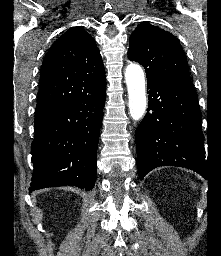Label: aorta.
I'll return each instance as SVG.
<instances>
[{
  "mask_svg": "<svg viewBox=\"0 0 221 256\" xmlns=\"http://www.w3.org/2000/svg\"><path fill=\"white\" fill-rule=\"evenodd\" d=\"M125 80L128 90L129 113L133 120L143 117L146 110L145 77L142 68L129 64L125 69Z\"/></svg>",
  "mask_w": 221,
  "mask_h": 256,
  "instance_id": "1",
  "label": "aorta"
}]
</instances>
